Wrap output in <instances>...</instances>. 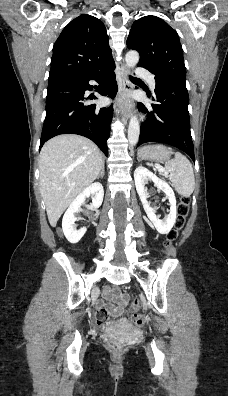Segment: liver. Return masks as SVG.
I'll use <instances>...</instances> for the list:
<instances>
[{
    "mask_svg": "<svg viewBox=\"0 0 228 396\" xmlns=\"http://www.w3.org/2000/svg\"><path fill=\"white\" fill-rule=\"evenodd\" d=\"M103 164L98 147L83 136L59 135L44 144L39 156V188L52 227L97 178Z\"/></svg>",
    "mask_w": 228,
    "mask_h": 396,
    "instance_id": "obj_1",
    "label": "liver"
}]
</instances>
